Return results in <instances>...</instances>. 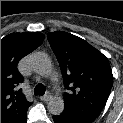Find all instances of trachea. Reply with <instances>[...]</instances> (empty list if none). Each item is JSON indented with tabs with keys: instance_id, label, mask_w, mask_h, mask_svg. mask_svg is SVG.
<instances>
[{
	"instance_id": "trachea-1",
	"label": "trachea",
	"mask_w": 123,
	"mask_h": 123,
	"mask_svg": "<svg viewBox=\"0 0 123 123\" xmlns=\"http://www.w3.org/2000/svg\"><path fill=\"white\" fill-rule=\"evenodd\" d=\"M45 91H46V89H45V86L43 84H38L34 88L35 95H44Z\"/></svg>"
}]
</instances>
